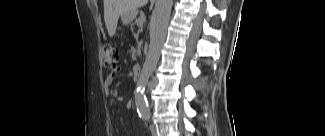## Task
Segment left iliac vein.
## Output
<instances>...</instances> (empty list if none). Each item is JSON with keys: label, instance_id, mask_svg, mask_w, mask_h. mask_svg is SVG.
<instances>
[{"label": "left iliac vein", "instance_id": "4c4485c4", "mask_svg": "<svg viewBox=\"0 0 325 136\" xmlns=\"http://www.w3.org/2000/svg\"><path fill=\"white\" fill-rule=\"evenodd\" d=\"M150 131H151V134H152L153 136H156V129H155V126H154V125H151V126H150Z\"/></svg>", "mask_w": 325, "mask_h": 136}]
</instances>
